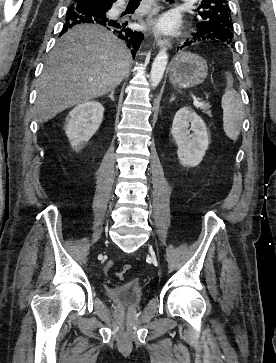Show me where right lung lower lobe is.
Wrapping results in <instances>:
<instances>
[{"mask_svg": "<svg viewBox=\"0 0 276 363\" xmlns=\"http://www.w3.org/2000/svg\"><path fill=\"white\" fill-rule=\"evenodd\" d=\"M111 6H101L98 2L76 1V4L68 8L66 14V23L64 24L61 34L65 33L68 28L76 24L93 23L106 27L115 35L125 41L127 47L134 54L138 51L139 46L144 38L141 32L133 31L126 27V23L112 20L107 16Z\"/></svg>", "mask_w": 276, "mask_h": 363, "instance_id": "obj_1", "label": "right lung lower lobe"}]
</instances>
